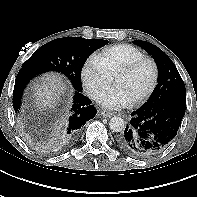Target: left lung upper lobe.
<instances>
[{
    "label": "left lung upper lobe",
    "mask_w": 197,
    "mask_h": 197,
    "mask_svg": "<svg viewBox=\"0 0 197 197\" xmlns=\"http://www.w3.org/2000/svg\"><path fill=\"white\" fill-rule=\"evenodd\" d=\"M134 43L154 58L158 68V85L142 107L152 106L161 98L171 94L186 93L184 82L176 66L160 48L141 40H135Z\"/></svg>",
    "instance_id": "left-lung-upper-lobe-1"
}]
</instances>
